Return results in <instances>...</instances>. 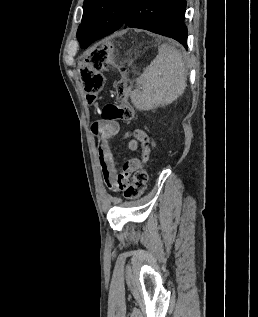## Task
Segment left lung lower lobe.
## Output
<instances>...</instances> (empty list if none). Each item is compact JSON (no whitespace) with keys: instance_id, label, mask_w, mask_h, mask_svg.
<instances>
[{"instance_id":"obj_1","label":"left lung lower lobe","mask_w":258,"mask_h":317,"mask_svg":"<svg viewBox=\"0 0 258 317\" xmlns=\"http://www.w3.org/2000/svg\"><path fill=\"white\" fill-rule=\"evenodd\" d=\"M186 0H132L121 27L139 28L173 38L187 49ZM119 27V28H121ZM119 28L98 27L80 40L83 48Z\"/></svg>"}]
</instances>
